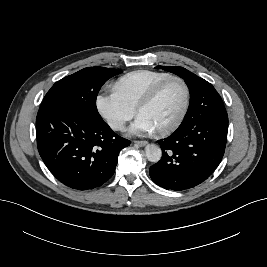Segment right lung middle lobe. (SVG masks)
Segmentation results:
<instances>
[{
	"mask_svg": "<svg viewBox=\"0 0 267 267\" xmlns=\"http://www.w3.org/2000/svg\"><path fill=\"white\" fill-rule=\"evenodd\" d=\"M121 71L104 67L84 68L57 81L44 97V102L57 104L91 121L102 120L96 107L100 88Z\"/></svg>",
	"mask_w": 267,
	"mask_h": 267,
	"instance_id": "1",
	"label": "right lung middle lobe"
}]
</instances>
